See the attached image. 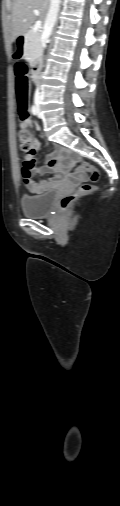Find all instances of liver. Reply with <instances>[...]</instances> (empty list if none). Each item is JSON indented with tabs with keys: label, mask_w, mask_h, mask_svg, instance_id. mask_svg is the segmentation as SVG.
<instances>
[{
	"label": "liver",
	"mask_w": 120,
	"mask_h": 506,
	"mask_svg": "<svg viewBox=\"0 0 120 506\" xmlns=\"http://www.w3.org/2000/svg\"><path fill=\"white\" fill-rule=\"evenodd\" d=\"M50 6V0H14L12 6L11 41L25 34L36 21L46 19ZM39 10V15L34 10Z\"/></svg>",
	"instance_id": "6515ba94"
}]
</instances>
